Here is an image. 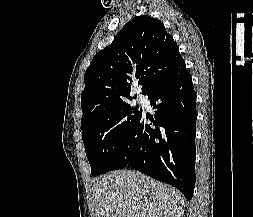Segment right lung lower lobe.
I'll use <instances>...</instances> for the list:
<instances>
[{
	"label": "right lung lower lobe",
	"mask_w": 253,
	"mask_h": 217,
	"mask_svg": "<svg viewBox=\"0 0 253 217\" xmlns=\"http://www.w3.org/2000/svg\"><path fill=\"white\" fill-rule=\"evenodd\" d=\"M155 120L143 112L135 121L112 170L130 164L192 198L195 186L196 93L182 60L147 90ZM150 118L153 125L145 120Z\"/></svg>",
	"instance_id": "1"
}]
</instances>
